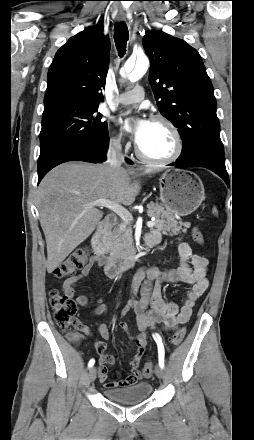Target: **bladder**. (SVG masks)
Returning a JSON list of instances; mask_svg holds the SVG:
<instances>
[{
	"label": "bladder",
	"instance_id": "obj_1",
	"mask_svg": "<svg viewBox=\"0 0 254 440\" xmlns=\"http://www.w3.org/2000/svg\"><path fill=\"white\" fill-rule=\"evenodd\" d=\"M152 391L151 383L142 381L124 387L108 389L105 391V396L115 402L131 404L145 401L150 397Z\"/></svg>",
	"mask_w": 254,
	"mask_h": 440
}]
</instances>
